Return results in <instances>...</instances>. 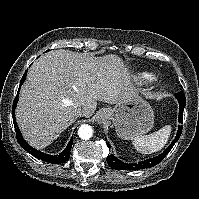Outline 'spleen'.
Here are the masks:
<instances>
[{
    "mask_svg": "<svg viewBox=\"0 0 199 199\" xmlns=\"http://www.w3.org/2000/svg\"><path fill=\"white\" fill-rule=\"evenodd\" d=\"M172 127L165 125L157 132L146 136H137L132 138V143L136 150L143 154H151L161 150L168 142Z\"/></svg>",
    "mask_w": 199,
    "mask_h": 199,
    "instance_id": "1",
    "label": "spleen"
}]
</instances>
